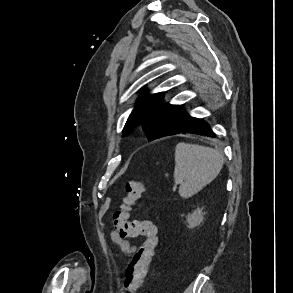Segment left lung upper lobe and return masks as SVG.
<instances>
[{
	"mask_svg": "<svg viewBox=\"0 0 293 293\" xmlns=\"http://www.w3.org/2000/svg\"><path fill=\"white\" fill-rule=\"evenodd\" d=\"M163 95L157 93L139 100L125 124L123 136L132 128L142 126L148 140H153L175 128L185 111L180 105L163 103Z\"/></svg>",
	"mask_w": 293,
	"mask_h": 293,
	"instance_id": "5c2ea615",
	"label": "left lung upper lobe"
}]
</instances>
